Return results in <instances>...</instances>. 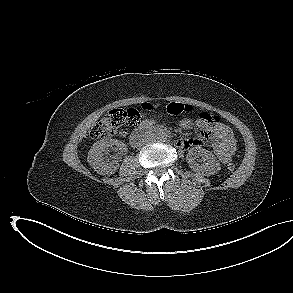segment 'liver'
I'll return each instance as SVG.
<instances>
[{
    "instance_id": "1",
    "label": "liver",
    "mask_w": 293,
    "mask_h": 293,
    "mask_svg": "<svg viewBox=\"0 0 293 293\" xmlns=\"http://www.w3.org/2000/svg\"><path fill=\"white\" fill-rule=\"evenodd\" d=\"M102 114V112L101 113H99V114H95V115H93L88 121H87V123H86V125L84 126V128H83V130H82V133H81V138L82 137H84L85 136V134H86V130L87 129H89L98 119H99V117H100V115Z\"/></svg>"
}]
</instances>
